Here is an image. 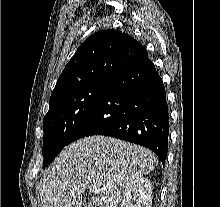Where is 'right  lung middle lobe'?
I'll use <instances>...</instances> for the list:
<instances>
[{
    "mask_svg": "<svg viewBox=\"0 0 220 207\" xmlns=\"http://www.w3.org/2000/svg\"><path fill=\"white\" fill-rule=\"evenodd\" d=\"M107 81L91 83L50 100L43 120L44 167L70 143L71 135L93 110Z\"/></svg>",
    "mask_w": 220,
    "mask_h": 207,
    "instance_id": "1",
    "label": "right lung middle lobe"
}]
</instances>
